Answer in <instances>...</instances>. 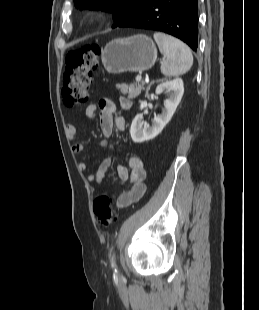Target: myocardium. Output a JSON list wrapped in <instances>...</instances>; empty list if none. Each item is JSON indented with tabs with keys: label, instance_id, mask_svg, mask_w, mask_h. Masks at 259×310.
<instances>
[{
	"label": "myocardium",
	"instance_id": "myocardium-1",
	"mask_svg": "<svg viewBox=\"0 0 259 310\" xmlns=\"http://www.w3.org/2000/svg\"><path fill=\"white\" fill-rule=\"evenodd\" d=\"M98 23V16L96 14H90L85 19V25L87 27H94Z\"/></svg>",
	"mask_w": 259,
	"mask_h": 310
}]
</instances>
